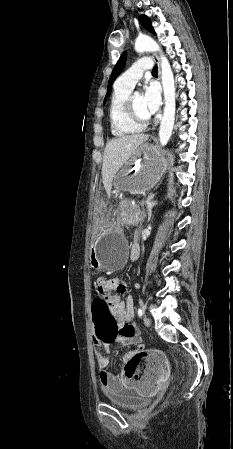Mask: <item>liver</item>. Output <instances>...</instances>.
Masks as SVG:
<instances>
[{
  "label": "liver",
  "mask_w": 233,
  "mask_h": 449,
  "mask_svg": "<svg viewBox=\"0 0 233 449\" xmlns=\"http://www.w3.org/2000/svg\"><path fill=\"white\" fill-rule=\"evenodd\" d=\"M148 138L149 136L145 134L124 135L112 139L106 144L103 155L102 180L108 196L111 195L116 173Z\"/></svg>",
  "instance_id": "obj_1"
}]
</instances>
